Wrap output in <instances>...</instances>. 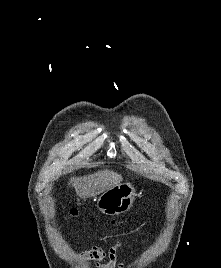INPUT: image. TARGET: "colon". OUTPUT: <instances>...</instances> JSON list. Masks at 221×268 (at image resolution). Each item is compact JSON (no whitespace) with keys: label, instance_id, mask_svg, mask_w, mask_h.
<instances>
[{"label":"colon","instance_id":"obj_1","mask_svg":"<svg viewBox=\"0 0 221 268\" xmlns=\"http://www.w3.org/2000/svg\"><path fill=\"white\" fill-rule=\"evenodd\" d=\"M70 214L73 216V217H79L80 216V214H79V212L76 210V209H72L71 211H70ZM119 222H112V224H118Z\"/></svg>","mask_w":221,"mask_h":268}]
</instances>
